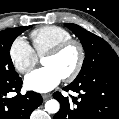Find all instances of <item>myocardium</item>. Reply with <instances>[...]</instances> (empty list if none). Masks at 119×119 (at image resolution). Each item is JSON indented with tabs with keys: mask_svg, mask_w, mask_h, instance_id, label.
<instances>
[{
	"mask_svg": "<svg viewBox=\"0 0 119 119\" xmlns=\"http://www.w3.org/2000/svg\"><path fill=\"white\" fill-rule=\"evenodd\" d=\"M72 46L76 47V49L78 50V55H79L78 62L75 68L69 74L63 77L65 81L74 80L80 74L83 68L85 57H86V52H85L83 44L79 40L72 38L64 42H61L60 44L56 45L54 48H52L50 51H48L45 54V57L59 56Z\"/></svg>",
	"mask_w": 119,
	"mask_h": 119,
	"instance_id": "myocardium-1",
	"label": "myocardium"
}]
</instances>
